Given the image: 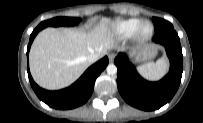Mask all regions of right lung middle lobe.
Returning <instances> with one entry per match:
<instances>
[{
  "mask_svg": "<svg viewBox=\"0 0 203 123\" xmlns=\"http://www.w3.org/2000/svg\"><path fill=\"white\" fill-rule=\"evenodd\" d=\"M78 22H80V18H73V17H56L50 20H46L41 22L37 27L41 29L48 27V26H74Z\"/></svg>",
  "mask_w": 203,
  "mask_h": 123,
  "instance_id": "dd1d6c3e",
  "label": "right lung middle lobe"
}]
</instances>
